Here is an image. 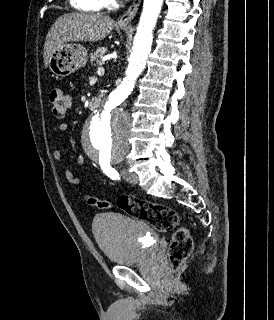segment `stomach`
I'll use <instances>...</instances> for the list:
<instances>
[{"instance_id": "stomach-1", "label": "stomach", "mask_w": 274, "mask_h": 320, "mask_svg": "<svg viewBox=\"0 0 274 320\" xmlns=\"http://www.w3.org/2000/svg\"><path fill=\"white\" fill-rule=\"evenodd\" d=\"M120 30H128V28H122ZM88 62L87 50L83 46H61L57 48L54 54H52L49 60V70L56 76V78H66L73 74L75 70L84 68Z\"/></svg>"}]
</instances>
